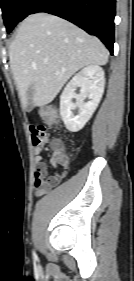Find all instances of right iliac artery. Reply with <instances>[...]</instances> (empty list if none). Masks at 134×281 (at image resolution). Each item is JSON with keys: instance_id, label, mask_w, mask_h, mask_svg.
<instances>
[{"instance_id": "right-iliac-artery-1", "label": "right iliac artery", "mask_w": 134, "mask_h": 281, "mask_svg": "<svg viewBox=\"0 0 134 281\" xmlns=\"http://www.w3.org/2000/svg\"><path fill=\"white\" fill-rule=\"evenodd\" d=\"M33 256H34V258H36V254H35V252H33Z\"/></svg>"}]
</instances>
